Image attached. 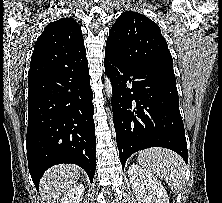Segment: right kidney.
Here are the masks:
<instances>
[{"label":"right kidney","mask_w":222,"mask_h":203,"mask_svg":"<svg viewBox=\"0 0 222 203\" xmlns=\"http://www.w3.org/2000/svg\"><path fill=\"white\" fill-rule=\"evenodd\" d=\"M84 185L75 184L63 194L60 203H80L84 194Z\"/></svg>","instance_id":"right-kidney-1"}]
</instances>
